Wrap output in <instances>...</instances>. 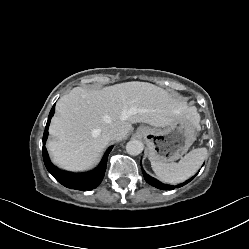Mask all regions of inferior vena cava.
<instances>
[{
    "instance_id": "inferior-vena-cava-1",
    "label": "inferior vena cava",
    "mask_w": 249,
    "mask_h": 249,
    "mask_svg": "<svg viewBox=\"0 0 249 249\" xmlns=\"http://www.w3.org/2000/svg\"><path fill=\"white\" fill-rule=\"evenodd\" d=\"M104 137L107 140H115L118 137V132L115 129H107L104 131Z\"/></svg>"
}]
</instances>
